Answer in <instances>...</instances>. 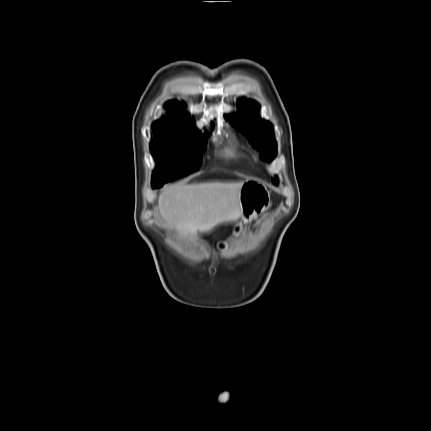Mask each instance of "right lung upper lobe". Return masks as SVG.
<instances>
[{"label": "right lung upper lobe", "instance_id": "1", "mask_svg": "<svg viewBox=\"0 0 431 431\" xmlns=\"http://www.w3.org/2000/svg\"><path fill=\"white\" fill-rule=\"evenodd\" d=\"M170 114L154 123V126H164L184 130L195 131L191 117L183 111L182 106L177 101L168 104Z\"/></svg>", "mask_w": 431, "mask_h": 431}]
</instances>
